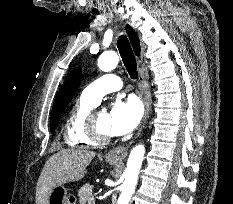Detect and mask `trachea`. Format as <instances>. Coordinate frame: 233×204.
<instances>
[{"label":"trachea","mask_w":233,"mask_h":204,"mask_svg":"<svg viewBox=\"0 0 233 204\" xmlns=\"http://www.w3.org/2000/svg\"><path fill=\"white\" fill-rule=\"evenodd\" d=\"M117 46L128 74L132 79H136L138 76L137 63L128 38L123 35L120 36L118 38Z\"/></svg>","instance_id":"trachea-1"}]
</instances>
